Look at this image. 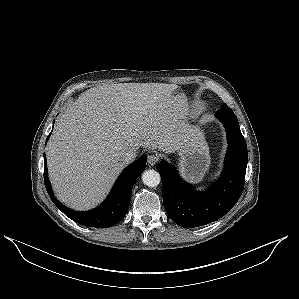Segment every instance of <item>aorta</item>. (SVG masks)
<instances>
[{
	"mask_svg": "<svg viewBox=\"0 0 299 299\" xmlns=\"http://www.w3.org/2000/svg\"><path fill=\"white\" fill-rule=\"evenodd\" d=\"M142 181L148 187H156L161 182L160 174L155 170H147L142 174Z\"/></svg>",
	"mask_w": 299,
	"mask_h": 299,
	"instance_id": "aorta-1",
	"label": "aorta"
}]
</instances>
